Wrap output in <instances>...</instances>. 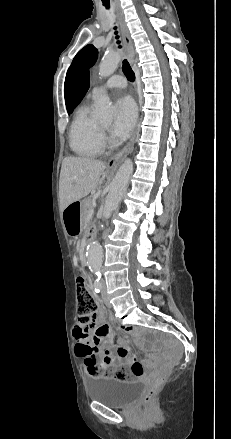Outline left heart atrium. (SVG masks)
Listing matches in <instances>:
<instances>
[{"mask_svg":"<svg viewBox=\"0 0 231 439\" xmlns=\"http://www.w3.org/2000/svg\"><path fill=\"white\" fill-rule=\"evenodd\" d=\"M136 122V108L129 97L120 98L115 104V118L112 135L116 140L126 139Z\"/></svg>","mask_w":231,"mask_h":439,"instance_id":"left-heart-atrium-1","label":"left heart atrium"}]
</instances>
